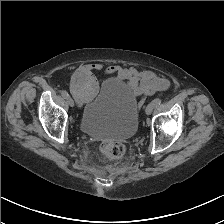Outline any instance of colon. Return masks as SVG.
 <instances>
[{
	"instance_id": "1",
	"label": "colon",
	"mask_w": 224,
	"mask_h": 224,
	"mask_svg": "<svg viewBox=\"0 0 224 224\" xmlns=\"http://www.w3.org/2000/svg\"><path fill=\"white\" fill-rule=\"evenodd\" d=\"M72 93L81 101L93 98L98 91V82L91 70L84 67L77 69L70 82ZM101 152L109 158H119L124 154V145L119 141L102 142Z\"/></svg>"
}]
</instances>
